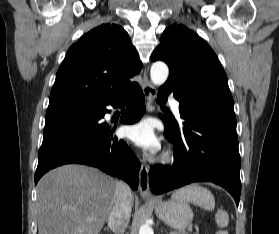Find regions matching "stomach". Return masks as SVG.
<instances>
[{"label":"stomach","instance_id":"stomach-1","mask_svg":"<svg viewBox=\"0 0 279 234\" xmlns=\"http://www.w3.org/2000/svg\"><path fill=\"white\" fill-rule=\"evenodd\" d=\"M153 207L159 219L178 231H183L193 219L192 209L182 201H158Z\"/></svg>","mask_w":279,"mask_h":234}]
</instances>
